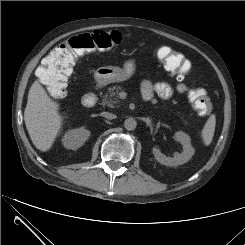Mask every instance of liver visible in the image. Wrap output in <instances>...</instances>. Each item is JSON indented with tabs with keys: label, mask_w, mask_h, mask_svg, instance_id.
Listing matches in <instances>:
<instances>
[{
	"label": "liver",
	"mask_w": 245,
	"mask_h": 245,
	"mask_svg": "<svg viewBox=\"0 0 245 245\" xmlns=\"http://www.w3.org/2000/svg\"><path fill=\"white\" fill-rule=\"evenodd\" d=\"M24 121L35 147L43 152L49 150L61 128L62 117L58 103L51 100L39 81L29 90Z\"/></svg>",
	"instance_id": "6515ba94"
}]
</instances>
